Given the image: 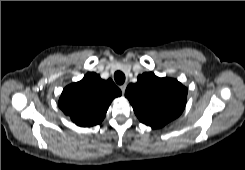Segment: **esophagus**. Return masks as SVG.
<instances>
[{
    "mask_svg": "<svg viewBox=\"0 0 245 170\" xmlns=\"http://www.w3.org/2000/svg\"><path fill=\"white\" fill-rule=\"evenodd\" d=\"M126 87H127L126 84H123V85L120 86V89H121V91H122V94H124V92H125V90H126Z\"/></svg>",
    "mask_w": 245,
    "mask_h": 170,
    "instance_id": "esophagus-1",
    "label": "esophagus"
}]
</instances>
